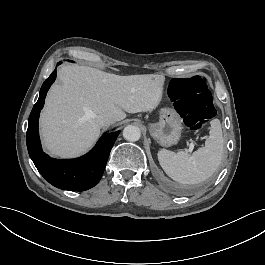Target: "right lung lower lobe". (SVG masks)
<instances>
[{"instance_id":"98d812e1","label":"right lung lower lobe","mask_w":265,"mask_h":265,"mask_svg":"<svg viewBox=\"0 0 265 265\" xmlns=\"http://www.w3.org/2000/svg\"><path fill=\"white\" fill-rule=\"evenodd\" d=\"M55 78L56 71H53L44 81L39 99L29 116L26 135L28 152L40 174L53 186L70 191L87 190L101 179L109 153L120 131L104 134L89 153L77 159L57 160L46 155L39 140L38 119L46 93Z\"/></svg>"}]
</instances>
